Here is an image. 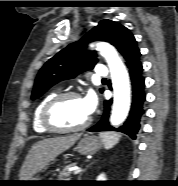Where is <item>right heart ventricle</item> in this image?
<instances>
[{
    "instance_id": "e07e8e85",
    "label": "right heart ventricle",
    "mask_w": 178,
    "mask_h": 186,
    "mask_svg": "<svg viewBox=\"0 0 178 186\" xmlns=\"http://www.w3.org/2000/svg\"><path fill=\"white\" fill-rule=\"evenodd\" d=\"M56 94H57L56 92L48 94L34 108L33 115H32V126L37 133H41V134L49 133V131L46 130L44 126L41 124L40 116H41L42 108L44 107L46 102Z\"/></svg>"
}]
</instances>
